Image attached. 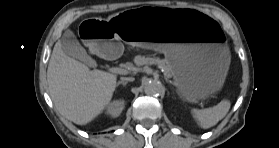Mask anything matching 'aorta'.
<instances>
[{
    "instance_id": "aorta-1",
    "label": "aorta",
    "mask_w": 279,
    "mask_h": 148,
    "mask_svg": "<svg viewBox=\"0 0 279 148\" xmlns=\"http://www.w3.org/2000/svg\"><path fill=\"white\" fill-rule=\"evenodd\" d=\"M144 92L148 96H159L164 92V87L158 81L149 80L144 84Z\"/></svg>"
}]
</instances>
